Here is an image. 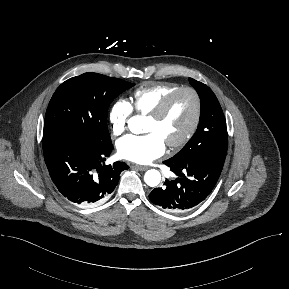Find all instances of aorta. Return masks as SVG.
I'll return each instance as SVG.
<instances>
[{"label":"aorta","instance_id":"aorta-1","mask_svg":"<svg viewBox=\"0 0 289 289\" xmlns=\"http://www.w3.org/2000/svg\"><path fill=\"white\" fill-rule=\"evenodd\" d=\"M145 183L150 187L157 186L161 181V174L158 170H148L144 175Z\"/></svg>","mask_w":289,"mask_h":289}]
</instances>
